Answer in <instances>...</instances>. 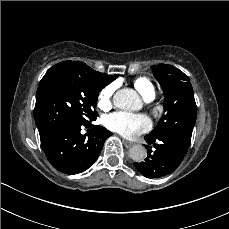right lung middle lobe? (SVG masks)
I'll use <instances>...</instances> for the list:
<instances>
[{"mask_svg":"<svg viewBox=\"0 0 229 229\" xmlns=\"http://www.w3.org/2000/svg\"><path fill=\"white\" fill-rule=\"evenodd\" d=\"M100 91L71 66L51 67L39 83L34 108L41 142L65 124L88 125L95 121Z\"/></svg>","mask_w":229,"mask_h":229,"instance_id":"dd1d6c3e","label":"right lung middle lobe"}]
</instances>
